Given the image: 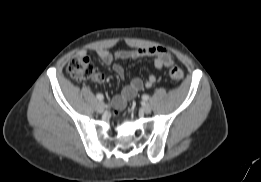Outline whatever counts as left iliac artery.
Wrapping results in <instances>:
<instances>
[{
    "label": "left iliac artery",
    "instance_id": "left-iliac-artery-1",
    "mask_svg": "<svg viewBox=\"0 0 261 182\" xmlns=\"http://www.w3.org/2000/svg\"><path fill=\"white\" fill-rule=\"evenodd\" d=\"M142 99H143L144 101H147V100L149 99V96H148L147 94H144V95L142 96Z\"/></svg>",
    "mask_w": 261,
    "mask_h": 182
}]
</instances>
